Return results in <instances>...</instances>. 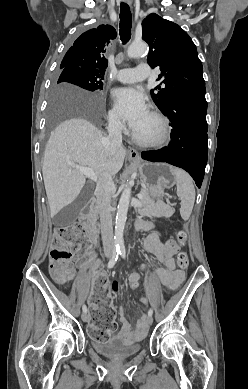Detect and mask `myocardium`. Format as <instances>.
I'll return each mask as SVG.
<instances>
[{
    "label": "myocardium",
    "instance_id": "obj_1",
    "mask_svg": "<svg viewBox=\"0 0 248 389\" xmlns=\"http://www.w3.org/2000/svg\"><path fill=\"white\" fill-rule=\"evenodd\" d=\"M149 114L154 117L160 125V134L154 139H144L131 132V137L135 143L142 147L156 148L165 145L171 137V128L168 119L158 110L151 109Z\"/></svg>",
    "mask_w": 248,
    "mask_h": 389
}]
</instances>
